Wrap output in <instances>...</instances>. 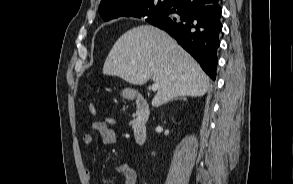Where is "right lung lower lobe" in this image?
Listing matches in <instances>:
<instances>
[{
    "instance_id": "1",
    "label": "right lung lower lobe",
    "mask_w": 293,
    "mask_h": 184,
    "mask_svg": "<svg viewBox=\"0 0 293 184\" xmlns=\"http://www.w3.org/2000/svg\"><path fill=\"white\" fill-rule=\"evenodd\" d=\"M221 12L218 0H171L162 18L147 22L174 37L215 79ZM169 14L176 17H168Z\"/></svg>"
}]
</instances>
